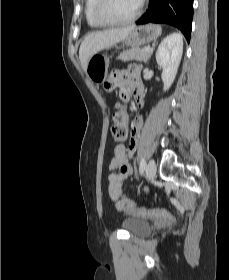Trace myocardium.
Wrapping results in <instances>:
<instances>
[{"label": "myocardium", "instance_id": "myocardium-1", "mask_svg": "<svg viewBox=\"0 0 229 280\" xmlns=\"http://www.w3.org/2000/svg\"><path fill=\"white\" fill-rule=\"evenodd\" d=\"M145 1L147 0L141 1L138 9L130 17L124 19H113V18H109L105 13V9L109 0H97V4L94 10V17L96 21L103 26H119V25L130 24L134 22L141 15L144 8Z\"/></svg>", "mask_w": 229, "mask_h": 280}]
</instances>
